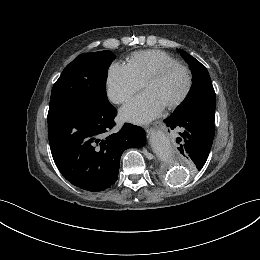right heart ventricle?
I'll return each mask as SVG.
<instances>
[{
	"instance_id": "1",
	"label": "right heart ventricle",
	"mask_w": 260,
	"mask_h": 260,
	"mask_svg": "<svg viewBox=\"0 0 260 260\" xmlns=\"http://www.w3.org/2000/svg\"><path fill=\"white\" fill-rule=\"evenodd\" d=\"M179 61L170 54L161 50H143L133 53L126 61L125 66L137 82L144 81L161 68L178 64Z\"/></svg>"
}]
</instances>
